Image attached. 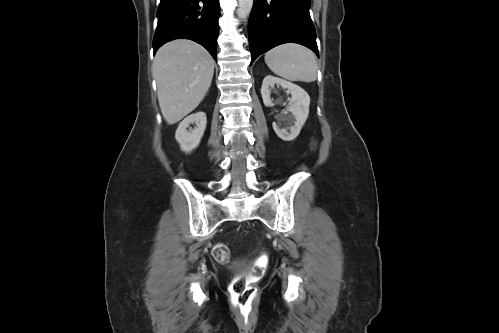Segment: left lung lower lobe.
Here are the masks:
<instances>
[{
    "label": "left lung lower lobe",
    "instance_id": "1",
    "mask_svg": "<svg viewBox=\"0 0 499 333\" xmlns=\"http://www.w3.org/2000/svg\"><path fill=\"white\" fill-rule=\"evenodd\" d=\"M310 0H254L248 23L251 64L261 54L284 43H298L317 56Z\"/></svg>",
    "mask_w": 499,
    "mask_h": 333
}]
</instances>
